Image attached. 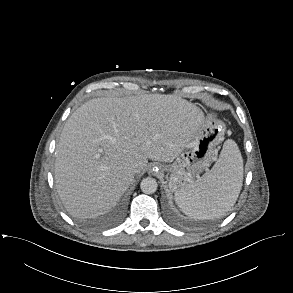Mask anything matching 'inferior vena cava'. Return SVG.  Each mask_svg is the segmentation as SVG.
<instances>
[{
	"label": "inferior vena cava",
	"mask_w": 293,
	"mask_h": 293,
	"mask_svg": "<svg viewBox=\"0 0 293 293\" xmlns=\"http://www.w3.org/2000/svg\"><path fill=\"white\" fill-rule=\"evenodd\" d=\"M127 169L131 173H138L139 172V166L137 164H130Z\"/></svg>",
	"instance_id": "obj_1"
}]
</instances>
